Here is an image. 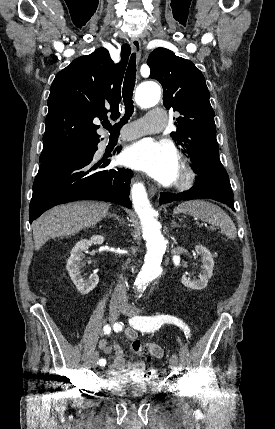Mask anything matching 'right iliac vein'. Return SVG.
Instances as JSON below:
<instances>
[{
  "instance_id": "right-iliac-vein-1",
  "label": "right iliac vein",
  "mask_w": 275,
  "mask_h": 429,
  "mask_svg": "<svg viewBox=\"0 0 275 429\" xmlns=\"http://www.w3.org/2000/svg\"><path fill=\"white\" fill-rule=\"evenodd\" d=\"M122 305L120 303H111L109 308V320L113 323L117 320L118 316L120 315V312L122 311ZM99 354L97 351H95L91 358V364L93 367L97 366Z\"/></svg>"
}]
</instances>
